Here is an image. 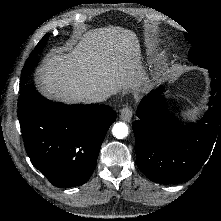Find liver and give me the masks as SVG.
Instances as JSON below:
<instances>
[{
	"label": "liver",
	"instance_id": "6515ba94",
	"mask_svg": "<svg viewBox=\"0 0 221 221\" xmlns=\"http://www.w3.org/2000/svg\"><path fill=\"white\" fill-rule=\"evenodd\" d=\"M78 40L67 53L49 54L37 71L35 80L47 96L87 102V94L108 96L144 79L140 45L132 31L109 26L89 30Z\"/></svg>",
	"mask_w": 221,
	"mask_h": 221
}]
</instances>
